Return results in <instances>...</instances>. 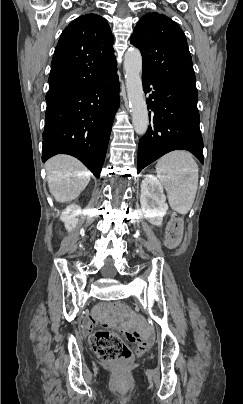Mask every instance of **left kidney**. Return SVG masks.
I'll list each match as a JSON object with an SVG mask.
<instances>
[{
    "instance_id": "obj_1",
    "label": "left kidney",
    "mask_w": 243,
    "mask_h": 404,
    "mask_svg": "<svg viewBox=\"0 0 243 404\" xmlns=\"http://www.w3.org/2000/svg\"><path fill=\"white\" fill-rule=\"evenodd\" d=\"M140 204L148 222L153 226H162L168 204H166V196L161 182L151 174H147L141 182Z\"/></svg>"
}]
</instances>
